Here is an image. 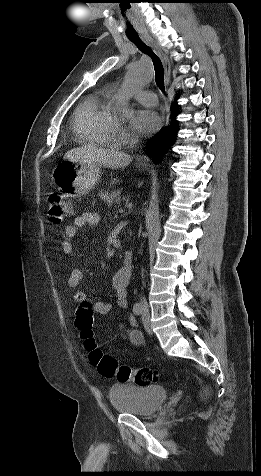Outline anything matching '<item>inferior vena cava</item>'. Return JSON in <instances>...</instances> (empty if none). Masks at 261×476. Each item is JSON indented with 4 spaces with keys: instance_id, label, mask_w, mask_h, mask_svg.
<instances>
[{
    "instance_id": "1",
    "label": "inferior vena cava",
    "mask_w": 261,
    "mask_h": 476,
    "mask_svg": "<svg viewBox=\"0 0 261 476\" xmlns=\"http://www.w3.org/2000/svg\"><path fill=\"white\" fill-rule=\"evenodd\" d=\"M138 144V137H133L130 143V147L133 148ZM144 311L148 312V304L145 300L142 301Z\"/></svg>"
}]
</instances>
